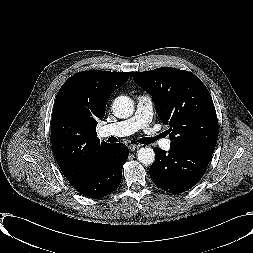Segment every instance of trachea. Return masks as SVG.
Returning a JSON list of instances; mask_svg holds the SVG:
<instances>
[{"label": "trachea", "mask_w": 253, "mask_h": 253, "mask_svg": "<svg viewBox=\"0 0 253 253\" xmlns=\"http://www.w3.org/2000/svg\"><path fill=\"white\" fill-rule=\"evenodd\" d=\"M138 142L141 143V144H151L153 141L150 138L145 137V138L139 139Z\"/></svg>", "instance_id": "obj_1"}]
</instances>
